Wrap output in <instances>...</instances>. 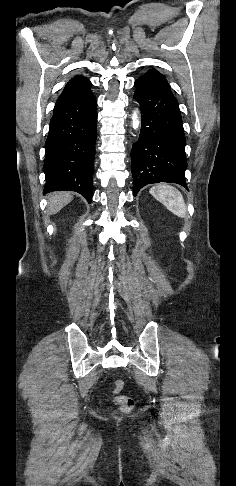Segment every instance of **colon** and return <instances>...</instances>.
<instances>
[{
	"label": "colon",
	"mask_w": 236,
	"mask_h": 486,
	"mask_svg": "<svg viewBox=\"0 0 236 486\" xmlns=\"http://www.w3.org/2000/svg\"><path fill=\"white\" fill-rule=\"evenodd\" d=\"M123 389L124 382L122 380L115 381L112 388L113 401L119 406L122 412L128 413L133 409L134 401L128 396L121 395Z\"/></svg>",
	"instance_id": "obj_1"
}]
</instances>
